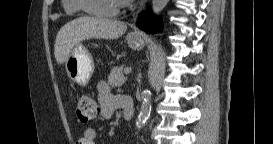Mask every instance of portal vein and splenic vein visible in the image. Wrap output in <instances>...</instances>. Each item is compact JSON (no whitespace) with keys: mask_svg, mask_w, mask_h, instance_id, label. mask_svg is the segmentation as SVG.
Returning <instances> with one entry per match:
<instances>
[{"mask_svg":"<svg viewBox=\"0 0 273 144\" xmlns=\"http://www.w3.org/2000/svg\"><path fill=\"white\" fill-rule=\"evenodd\" d=\"M131 71H132L131 68H126V69L124 70V73H125L126 75H129V74L131 73Z\"/></svg>","mask_w":273,"mask_h":144,"instance_id":"18ae733b","label":"portal vein and splenic vein"}]
</instances>
